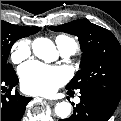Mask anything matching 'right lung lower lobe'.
Here are the masks:
<instances>
[{
  "mask_svg": "<svg viewBox=\"0 0 121 121\" xmlns=\"http://www.w3.org/2000/svg\"><path fill=\"white\" fill-rule=\"evenodd\" d=\"M17 83L18 77L14 70L1 75V89L4 88L3 86L10 88L8 94L1 95V121H20L26 105L32 99L21 96L18 92L15 95L10 94L12 87Z\"/></svg>",
  "mask_w": 121,
  "mask_h": 121,
  "instance_id": "1",
  "label": "right lung lower lobe"
}]
</instances>
